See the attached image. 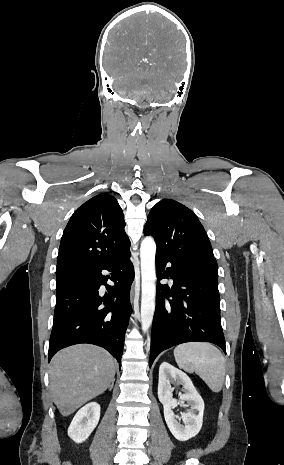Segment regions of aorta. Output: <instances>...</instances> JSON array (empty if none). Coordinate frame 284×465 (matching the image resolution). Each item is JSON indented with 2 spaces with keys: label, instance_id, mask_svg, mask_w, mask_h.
I'll list each match as a JSON object with an SVG mask.
<instances>
[{
  "label": "aorta",
  "instance_id": "1",
  "mask_svg": "<svg viewBox=\"0 0 284 465\" xmlns=\"http://www.w3.org/2000/svg\"><path fill=\"white\" fill-rule=\"evenodd\" d=\"M155 255L156 243L152 237L143 239L140 248L142 297H141V326L145 333L152 324L155 311Z\"/></svg>",
  "mask_w": 284,
  "mask_h": 465
}]
</instances>
